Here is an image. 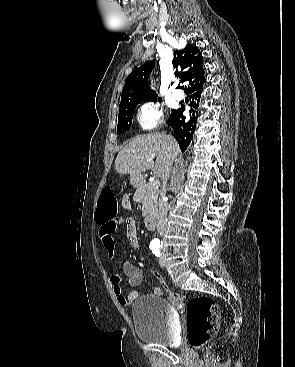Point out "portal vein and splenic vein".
<instances>
[{"instance_id":"18ae733b","label":"portal vein and splenic vein","mask_w":295,"mask_h":367,"mask_svg":"<svg viewBox=\"0 0 295 367\" xmlns=\"http://www.w3.org/2000/svg\"><path fill=\"white\" fill-rule=\"evenodd\" d=\"M152 184H153V186H154L155 188H158V187H159L160 182H159V180H155V181H153V182H152Z\"/></svg>"}]
</instances>
